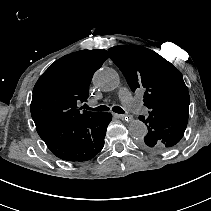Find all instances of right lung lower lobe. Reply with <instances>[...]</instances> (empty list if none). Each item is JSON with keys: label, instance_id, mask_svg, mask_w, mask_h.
I'll list each match as a JSON object with an SVG mask.
<instances>
[{"label": "right lung lower lobe", "instance_id": "right-lung-lower-lobe-1", "mask_svg": "<svg viewBox=\"0 0 211 211\" xmlns=\"http://www.w3.org/2000/svg\"><path fill=\"white\" fill-rule=\"evenodd\" d=\"M111 120V113L97 112L82 120L58 126L40 137L56 157L65 161L84 162L92 159L103 148Z\"/></svg>", "mask_w": 211, "mask_h": 211}]
</instances>
